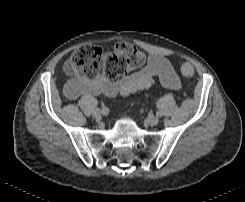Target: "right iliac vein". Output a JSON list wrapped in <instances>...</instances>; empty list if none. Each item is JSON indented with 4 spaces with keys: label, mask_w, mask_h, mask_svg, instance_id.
I'll use <instances>...</instances> for the list:
<instances>
[{
    "label": "right iliac vein",
    "mask_w": 245,
    "mask_h": 202,
    "mask_svg": "<svg viewBox=\"0 0 245 202\" xmlns=\"http://www.w3.org/2000/svg\"><path fill=\"white\" fill-rule=\"evenodd\" d=\"M101 115H105L104 112L102 110H99V109H95L94 112H93V117L94 118H99Z\"/></svg>",
    "instance_id": "63e3f726"
}]
</instances>
